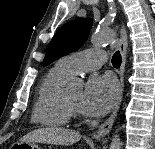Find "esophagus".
Segmentation results:
<instances>
[{"label":"esophagus","mask_w":155,"mask_h":149,"mask_svg":"<svg viewBox=\"0 0 155 149\" xmlns=\"http://www.w3.org/2000/svg\"><path fill=\"white\" fill-rule=\"evenodd\" d=\"M127 46H128L127 31L124 23H122L121 29H120V41H119V49L122 57V62L119 69V94H118L115 108L111 116L93 133L92 138L95 140H100L107 133H109L115 121V118L117 116L118 110L120 108V104L123 97V91H124V72H125V64H126Z\"/></svg>","instance_id":"34e87169"}]
</instances>
